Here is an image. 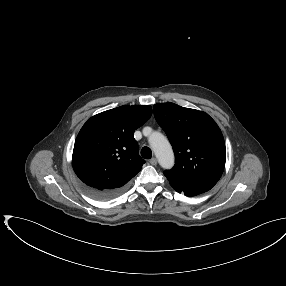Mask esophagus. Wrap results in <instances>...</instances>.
I'll return each instance as SVG.
<instances>
[{
  "mask_svg": "<svg viewBox=\"0 0 286 286\" xmlns=\"http://www.w3.org/2000/svg\"><path fill=\"white\" fill-rule=\"evenodd\" d=\"M149 163H150L151 165H153V166H156V165H157V160H156V158L150 159Z\"/></svg>",
  "mask_w": 286,
  "mask_h": 286,
  "instance_id": "obj_1",
  "label": "esophagus"
}]
</instances>
